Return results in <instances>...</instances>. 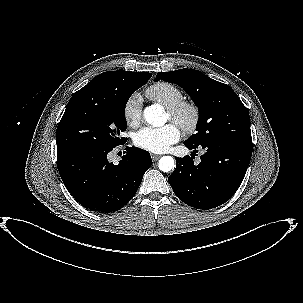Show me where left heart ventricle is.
<instances>
[{
	"instance_id": "b2bd125f",
	"label": "left heart ventricle",
	"mask_w": 303,
	"mask_h": 303,
	"mask_svg": "<svg viewBox=\"0 0 303 303\" xmlns=\"http://www.w3.org/2000/svg\"><path fill=\"white\" fill-rule=\"evenodd\" d=\"M169 120V115L166 113V121Z\"/></svg>"
}]
</instances>
